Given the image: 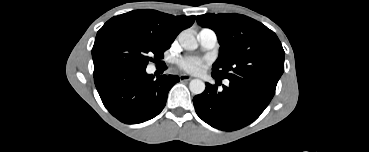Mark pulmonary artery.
<instances>
[{
	"label": "pulmonary artery",
	"mask_w": 369,
	"mask_h": 152,
	"mask_svg": "<svg viewBox=\"0 0 369 152\" xmlns=\"http://www.w3.org/2000/svg\"><path fill=\"white\" fill-rule=\"evenodd\" d=\"M197 40L204 49H212L217 43V34L209 28L201 29L197 34Z\"/></svg>",
	"instance_id": "obj_1"
}]
</instances>
